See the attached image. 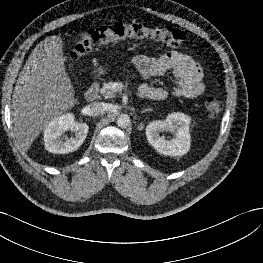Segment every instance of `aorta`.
<instances>
[{"mask_svg": "<svg viewBox=\"0 0 263 263\" xmlns=\"http://www.w3.org/2000/svg\"><path fill=\"white\" fill-rule=\"evenodd\" d=\"M130 117L127 114H121L117 118V125L120 128H127L130 125Z\"/></svg>", "mask_w": 263, "mask_h": 263, "instance_id": "762f6f07", "label": "aorta"}]
</instances>
